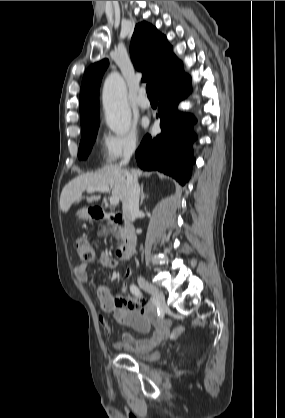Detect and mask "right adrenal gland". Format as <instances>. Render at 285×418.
<instances>
[{
    "mask_svg": "<svg viewBox=\"0 0 285 418\" xmlns=\"http://www.w3.org/2000/svg\"><path fill=\"white\" fill-rule=\"evenodd\" d=\"M145 199V194H144V185H141V199H140V205L143 204V200Z\"/></svg>",
    "mask_w": 285,
    "mask_h": 418,
    "instance_id": "obj_1",
    "label": "right adrenal gland"
}]
</instances>
